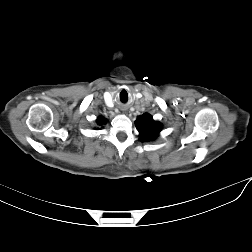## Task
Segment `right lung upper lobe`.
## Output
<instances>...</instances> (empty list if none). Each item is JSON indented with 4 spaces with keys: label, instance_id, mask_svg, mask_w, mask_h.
I'll return each instance as SVG.
<instances>
[{
    "label": "right lung upper lobe",
    "instance_id": "obj_1",
    "mask_svg": "<svg viewBox=\"0 0 252 252\" xmlns=\"http://www.w3.org/2000/svg\"><path fill=\"white\" fill-rule=\"evenodd\" d=\"M97 123L99 124V125H103V124H105L106 123V119L104 118V117H99L97 120Z\"/></svg>",
    "mask_w": 252,
    "mask_h": 252
}]
</instances>
